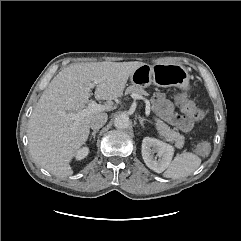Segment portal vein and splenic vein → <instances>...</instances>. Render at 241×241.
Instances as JSON below:
<instances>
[{"instance_id": "1", "label": "portal vein and splenic vein", "mask_w": 241, "mask_h": 241, "mask_svg": "<svg viewBox=\"0 0 241 241\" xmlns=\"http://www.w3.org/2000/svg\"><path fill=\"white\" fill-rule=\"evenodd\" d=\"M98 82L99 81L96 80L93 83H89V87L93 88ZM131 96L134 99L143 100L145 102V104H146L145 114H146V116H149L150 115V103H149V101L145 97H143L142 95H139V94H132ZM103 109H104L103 105L97 104L96 101H94V100H90V102L88 104V107L78 111L77 113L68 114L67 116L70 119L75 120V122L77 123V122L80 121V119L82 117H85V116H87L91 113L102 111ZM63 114H65V113H63Z\"/></svg>"}]
</instances>
